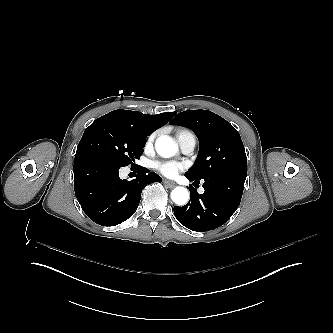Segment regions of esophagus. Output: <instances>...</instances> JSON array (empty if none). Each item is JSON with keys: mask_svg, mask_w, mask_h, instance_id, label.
I'll return each mask as SVG.
<instances>
[{"mask_svg": "<svg viewBox=\"0 0 333 333\" xmlns=\"http://www.w3.org/2000/svg\"><path fill=\"white\" fill-rule=\"evenodd\" d=\"M164 183H165L166 185H168L170 188H173V187L176 186L175 181H172V180L165 179V180H164Z\"/></svg>", "mask_w": 333, "mask_h": 333, "instance_id": "1", "label": "esophagus"}]
</instances>
